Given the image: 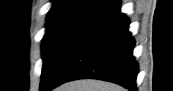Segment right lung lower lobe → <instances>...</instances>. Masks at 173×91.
<instances>
[{
  "mask_svg": "<svg viewBox=\"0 0 173 91\" xmlns=\"http://www.w3.org/2000/svg\"><path fill=\"white\" fill-rule=\"evenodd\" d=\"M129 19L120 3L87 21L70 41L52 73L40 84L49 91L66 81L93 78L136 90L138 63L133 56L135 41L128 31Z\"/></svg>",
  "mask_w": 173,
  "mask_h": 91,
  "instance_id": "obj_1",
  "label": "right lung lower lobe"
}]
</instances>
